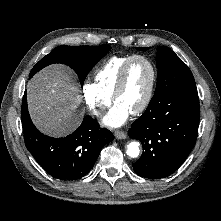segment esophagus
Here are the masks:
<instances>
[{
  "label": "esophagus",
  "mask_w": 221,
  "mask_h": 221,
  "mask_svg": "<svg viewBox=\"0 0 221 221\" xmlns=\"http://www.w3.org/2000/svg\"><path fill=\"white\" fill-rule=\"evenodd\" d=\"M114 136H115L117 139H126V138H127L126 133L123 132V131H120V130L114 131Z\"/></svg>",
  "instance_id": "1"
}]
</instances>
